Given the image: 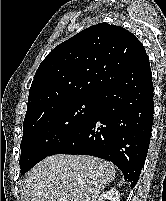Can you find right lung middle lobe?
<instances>
[{"label": "right lung middle lobe", "instance_id": "obj_1", "mask_svg": "<svg viewBox=\"0 0 166 201\" xmlns=\"http://www.w3.org/2000/svg\"><path fill=\"white\" fill-rule=\"evenodd\" d=\"M99 95L82 96L38 115L25 117L19 165L25 174L82 126L98 106Z\"/></svg>", "mask_w": 166, "mask_h": 201}]
</instances>
